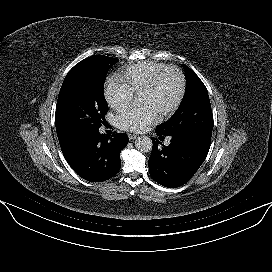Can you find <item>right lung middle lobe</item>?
I'll return each instance as SVG.
<instances>
[{
	"label": "right lung middle lobe",
	"mask_w": 272,
	"mask_h": 272,
	"mask_svg": "<svg viewBox=\"0 0 272 272\" xmlns=\"http://www.w3.org/2000/svg\"><path fill=\"white\" fill-rule=\"evenodd\" d=\"M119 60L94 55L76 64L66 75L59 92L55 124L63 133L86 138L105 123L108 111L104 82L111 66Z\"/></svg>",
	"instance_id": "right-lung-middle-lobe-1"
}]
</instances>
